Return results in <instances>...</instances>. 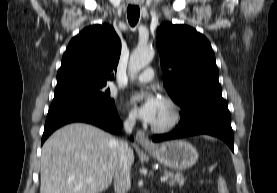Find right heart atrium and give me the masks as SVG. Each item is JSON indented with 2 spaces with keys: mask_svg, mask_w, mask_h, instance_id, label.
Masks as SVG:
<instances>
[{
  "mask_svg": "<svg viewBox=\"0 0 277 193\" xmlns=\"http://www.w3.org/2000/svg\"><path fill=\"white\" fill-rule=\"evenodd\" d=\"M127 124H132L134 122V117L132 115H128L125 119Z\"/></svg>",
  "mask_w": 277,
  "mask_h": 193,
  "instance_id": "right-heart-atrium-1",
  "label": "right heart atrium"
}]
</instances>
